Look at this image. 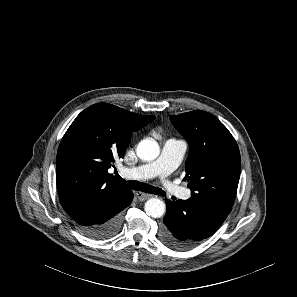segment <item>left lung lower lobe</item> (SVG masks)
Returning a JSON list of instances; mask_svg holds the SVG:
<instances>
[{"label":"left lung lower lobe","mask_w":297,"mask_h":297,"mask_svg":"<svg viewBox=\"0 0 297 297\" xmlns=\"http://www.w3.org/2000/svg\"><path fill=\"white\" fill-rule=\"evenodd\" d=\"M162 241L171 248L186 250L213 235L231 211V207L203 204L194 200H166Z\"/></svg>","instance_id":"obj_1"}]
</instances>
